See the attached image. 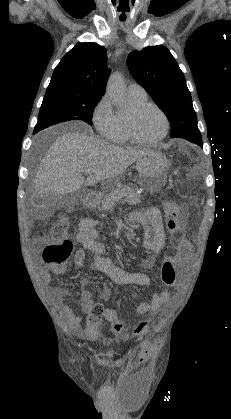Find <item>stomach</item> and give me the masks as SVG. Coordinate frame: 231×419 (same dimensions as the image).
<instances>
[{
    "label": "stomach",
    "mask_w": 231,
    "mask_h": 419,
    "mask_svg": "<svg viewBox=\"0 0 231 419\" xmlns=\"http://www.w3.org/2000/svg\"><path fill=\"white\" fill-rule=\"evenodd\" d=\"M136 169L143 188L155 192L166 182L169 162L162 153L150 151L136 161Z\"/></svg>",
    "instance_id": "1"
}]
</instances>
